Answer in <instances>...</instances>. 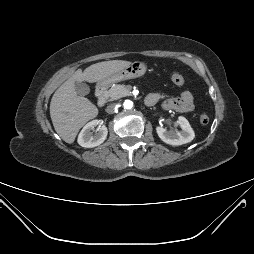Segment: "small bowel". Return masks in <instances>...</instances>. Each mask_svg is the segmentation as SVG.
Here are the masks:
<instances>
[{"instance_id":"obj_1","label":"small bowel","mask_w":254,"mask_h":254,"mask_svg":"<svg viewBox=\"0 0 254 254\" xmlns=\"http://www.w3.org/2000/svg\"><path fill=\"white\" fill-rule=\"evenodd\" d=\"M147 99L151 101L152 105L162 101V107L165 110L185 113L191 112L195 108L193 95L190 91H183L176 98H165L162 94L154 92L150 93Z\"/></svg>"}]
</instances>
